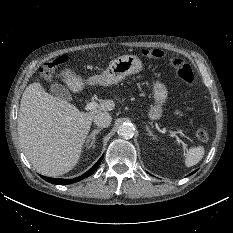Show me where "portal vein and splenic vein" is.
Here are the masks:
<instances>
[{"instance_id": "obj_1", "label": "portal vein and splenic vein", "mask_w": 233, "mask_h": 233, "mask_svg": "<svg viewBox=\"0 0 233 233\" xmlns=\"http://www.w3.org/2000/svg\"><path fill=\"white\" fill-rule=\"evenodd\" d=\"M98 107H99V105H98L97 102H90V103L86 104L85 110H87V111L96 110ZM169 133H170L171 136L175 137L179 143H182L183 145H185L177 136V133H180L181 135H184L182 130H179L178 132L169 131Z\"/></svg>"}]
</instances>
